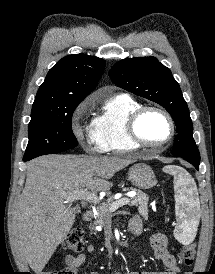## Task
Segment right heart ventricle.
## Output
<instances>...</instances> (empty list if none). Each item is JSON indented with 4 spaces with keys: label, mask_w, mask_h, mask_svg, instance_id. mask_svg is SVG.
<instances>
[{
    "label": "right heart ventricle",
    "mask_w": 215,
    "mask_h": 274,
    "mask_svg": "<svg viewBox=\"0 0 215 274\" xmlns=\"http://www.w3.org/2000/svg\"><path fill=\"white\" fill-rule=\"evenodd\" d=\"M141 104L126 94L108 98L92 121V129L105 152L120 153L139 146L128 137L126 121Z\"/></svg>",
    "instance_id": "e07e8e85"
}]
</instances>
